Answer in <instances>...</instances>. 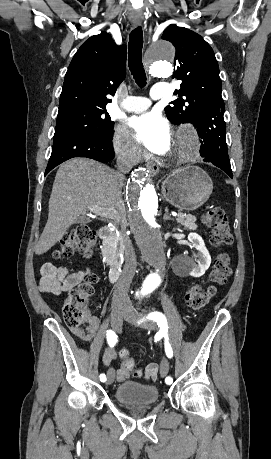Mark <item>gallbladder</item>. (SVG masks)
Listing matches in <instances>:
<instances>
[{
  "instance_id": "1",
  "label": "gallbladder",
  "mask_w": 271,
  "mask_h": 459,
  "mask_svg": "<svg viewBox=\"0 0 271 459\" xmlns=\"http://www.w3.org/2000/svg\"><path fill=\"white\" fill-rule=\"evenodd\" d=\"M88 220H85V218H83V220H76L75 224H87Z\"/></svg>"
}]
</instances>
